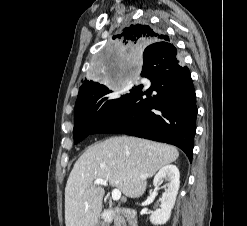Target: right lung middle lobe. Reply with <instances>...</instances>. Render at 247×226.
Listing matches in <instances>:
<instances>
[{
  "instance_id": "right-lung-middle-lobe-1",
  "label": "right lung middle lobe",
  "mask_w": 247,
  "mask_h": 226,
  "mask_svg": "<svg viewBox=\"0 0 247 226\" xmlns=\"http://www.w3.org/2000/svg\"><path fill=\"white\" fill-rule=\"evenodd\" d=\"M125 94L107 86L98 87L90 94L76 101L74 144L79 143L89 134H93L97 125L111 113L124 99Z\"/></svg>"
}]
</instances>
